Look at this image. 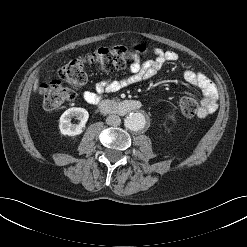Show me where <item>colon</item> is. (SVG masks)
<instances>
[{"label": "colon", "instance_id": "1", "mask_svg": "<svg viewBox=\"0 0 247 247\" xmlns=\"http://www.w3.org/2000/svg\"><path fill=\"white\" fill-rule=\"evenodd\" d=\"M144 52L145 47L141 45L131 50L122 46H105L71 59L58 69L57 79L39 86L44 107L51 110L73 101L77 96V90L87 82V66L93 65L110 72L123 68L129 61L140 57ZM179 107L185 116H194L198 111V102L193 97H183Z\"/></svg>", "mask_w": 247, "mask_h": 247}]
</instances>
